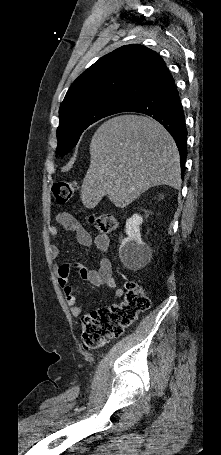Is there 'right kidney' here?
Instances as JSON below:
<instances>
[{"label": "right kidney", "mask_w": 221, "mask_h": 455, "mask_svg": "<svg viewBox=\"0 0 221 455\" xmlns=\"http://www.w3.org/2000/svg\"><path fill=\"white\" fill-rule=\"evenodd\" d=\"M142 222L143 218L138 214H134L126 221L127 237L122 240L119 247V258L129 269L137 268L151 255L150 248L141 239L140 225Z\"/></svg>", "instance_id": "obj_1"}]
</instances>
